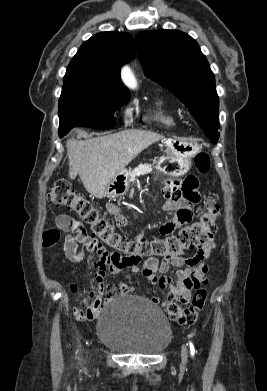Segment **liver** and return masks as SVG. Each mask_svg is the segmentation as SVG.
I'll return each mask as SVG.
<instances>
[{"label": "liver", "mask_w": 267, "mask_h": 391, "mask_svg": "<svg viewBox=\"0 0 267 391\" xmlns=\"http://www.w3.org/2000/svg\"><path fill=\"white\" fill-rule=\"evenodd\" d=\"M163 139L145 130H124L84 141L66 142L69 178L79 175L91 195L102 198L108 183L143 150Z\"/></svg>", "instance_id": "6515ba94"}]
</instances>
